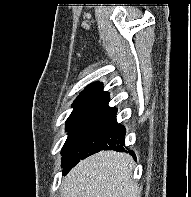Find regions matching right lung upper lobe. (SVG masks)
<instances>
[{
  "label": "right lung upper lobe",
  "mask_w": 191,
  "mask_h": 197,
  "mask_svg": "<svg viewBox=\"0 0 191 197\" xmlns=\"http://www.w3.org/2000/svg\"><path fill=\"white\" fill-rule=\"evenodd\" d=\"M109 93L104 92L102 83L95 82L88 85L73 102V111L93 109L99 103L108 98Z\"/></svg>",
  "instance_id": "cb5924a9"
}]
</instances>
